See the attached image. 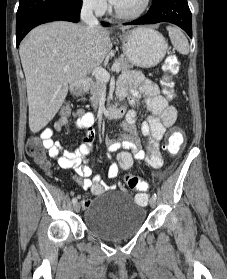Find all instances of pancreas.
Wrapping results in <instances>:
<instances>
[{
    "label": "pancreas",
    "mask_w": 227,
    "mask_h": 279,
    "mask_svg": "<svg viewBox=\"0 0 227 279\" xmlns=\"http://www.w3.org/2000/svg\"><path fill=\"white\" fill-rule=\"evenodd\" d=\"M114 64H119L120 71H127L133 68V65L123 57H120L114 61ZM107 82L104 80L95 79L91 81L90 84V101L92 105L96 108L101 100L103 92L106 90Z\"/></svg>",
    "instance_id": "obj_1"
}]
</instances>
